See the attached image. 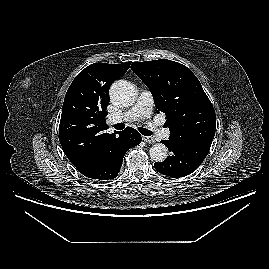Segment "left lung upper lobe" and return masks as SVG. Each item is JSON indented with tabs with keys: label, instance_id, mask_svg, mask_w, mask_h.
Here are the masks:
<instances>
[{
	"label": "left lung upper lobe",
	"instance_id": "obj_1",
	"mask_svg": "<svg viewBox=\"0 0 269 269\" xmlns=\"http://www.w3.org/2000/svg\"><path fill=\"white\" fill-rule=\"evenodd\" d=\"M133 72L146 84L155 106L166 114L169 140L211 146L216 114L199 80L186 66L171 60L133 62Z\"/></svg>",
	"mask_w": 269,
	"mask_h": 269
}]
</instances>
